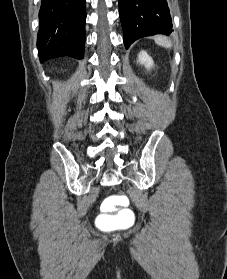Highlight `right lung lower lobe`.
I'll return each mask as SVG.
<instances>
[{"instance_id": "obj_1", "label": "right lung lower lobe", "mask_w": 227, "mask_h": 279, "mask_svg": "<svg viewBox=\"0 0 227 279\" xmlns=\"http://www.w3.org/2000/svg\"><path fill=\"white\" fill-rule=\"evenodd\" d=\"M85 3V0H42L37 38L41 62L61 56L83 58Z\"/></svg>"}]
</instances>
